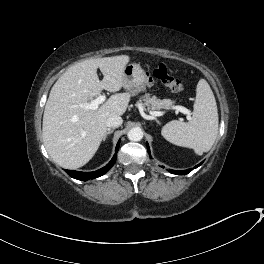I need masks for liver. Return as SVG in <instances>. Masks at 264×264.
Returning a JSON list of instances; mask_svg holds the SVG:
<instances>
[{
	"label": "liver",
	"instance_id": "1",
	"mask_svg": "<svg viewBox=\"0 0 264 264\" xmlns=\"http://www.w3.org/2000/svg\"><path fill=\"white\" fill-rule=\"evenodd\" d=\"M128 55L90 58L68 68L53 85L43 115V141L55 163L76 169L88 163L107 132L109 117L125 113L129 93H116L96 110L81 105L102 90L117 92L123 87ZM103 74L100 81L97 69Z\"/></svg>",
	"mask_w": 264,
	"mask_h": 264
}]
</instances>
